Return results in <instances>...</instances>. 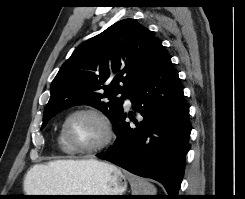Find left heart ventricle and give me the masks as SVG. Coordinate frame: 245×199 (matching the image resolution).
Returning <instances> with one entry per match:
<instances>
[{
	"label": "left heart ventricle",
	"mask_w": 245,
	"mask_h": 199,
	"mask_svg": "<svg viewBox=\"0 0 245 199\" xmlns=\"http://www.w3.org/2000/svg\"><path fill=\"white\" fill-rule=\"evenodd\" d=\"M68 133L74 144L81 148L94 147L104 138L102 124L88 114L73 117L68 125Z\"/></svg>",
	"instance_id": "1"
}]
</instances>
